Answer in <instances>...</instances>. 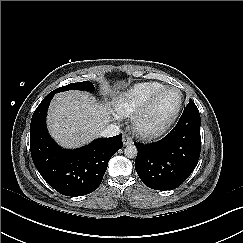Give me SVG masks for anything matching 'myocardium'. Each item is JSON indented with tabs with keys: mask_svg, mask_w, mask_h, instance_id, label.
<instances>
[{
	"mask_svg": "<svg viewBox=\"0 0 243 243\" xmlns=\"http://www.w3.org/2000/svg\"><path fill=\"white\" fill-rule=\"evenodd\" d=\"M176 90L180 94L179 104L175 112L164 122L156 125H146L145 120L158 98L167 91ZM184 103V94L175 86H165L154 93L148 101L132 116L133 130L144 139H153L164 134L178 119Z\"/></svg>",
	"mask_w": 243,
	"mask_h": 243,
	"instance_id": "obj_1",
	"label": "myocardium"
}]
</instances>
